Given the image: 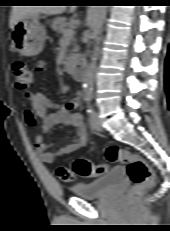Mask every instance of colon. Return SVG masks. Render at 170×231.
Listing matches in <instances>:
<instances>
[{
	"label": "colon",
	"instance_id": "colon-1",
	"mask_svg": "<svg viewBox=\"0 0 170 231\" xmlns=\"http://www.w3.org/2000/svg\"><path fill=\"white\" fill-rule=\"evenodd\" d=\"M32 67L23 61L12 64V74L17 90L28 91L33 82ZM105 158L111 163H122L126 166L128 176L133 183L128 192V199L134 200L150 187L155 179L154 172L148 163L140 156L131 153L118 145H111L106 149ZM105 172V166L94 164L85 158H78L71 168L61 166L57 168V176L64 182H72L76 176L96 177Z\"/></svg>",
	"mask_w": 170,
	"mask_h": 231
}]
</instances>
